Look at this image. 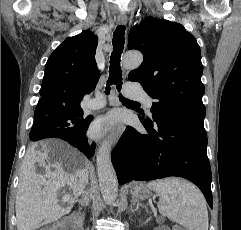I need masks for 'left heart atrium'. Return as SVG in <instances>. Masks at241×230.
Instances as JSON below:
<instances>
[{
    "mask_svg": "<svg viewBox=\"0 0 241 230\" xmlns=\"http://www.w3.org/2000/svg\"><path fill=\"white\" fill-rule=\"evenodd\" d=\"M116 120L117 116L113 112L98 117L90 126V136L93 138H100L114 126Z\"/></svg>",
    "mask_w": 241,
    "mask_h": 230,
    "instance_id": "39dd6f15",
    "label": "left heart atrium"
}]
</instances>
